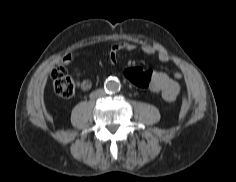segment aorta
I'll use <instances>...</instances> for the list:
<instances>
[{
	"label": "aorta",
	"instance_id": "aorta-1",
	"mask_svg": "<svg viewBox=\"0 0 236 182\" xmlns=\"http://www.w3.org/2000/svg\"><path fill=\"white\" fill-rule=\"evenodd\" d=\"M120 82L115 78L107 79L105 82V90L111 93L118 92L120 90Z\"/></svg>",
	"mask_w": 236,
	"mask_h": 182
}]
</instances>
